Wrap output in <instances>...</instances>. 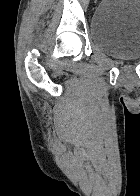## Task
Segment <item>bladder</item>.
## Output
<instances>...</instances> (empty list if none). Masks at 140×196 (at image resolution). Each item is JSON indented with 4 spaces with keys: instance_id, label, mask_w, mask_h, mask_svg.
<instances>
[{
    "instance_id": "obj_1",
    "label": "bladder",
    "mask_w": 140,
    "mask_h": 196,
    "mask_svg": "<svg viewBox=\"0 0 140 196\" xmlns=\"http://www.w3.org/2000/svg\"><path fill=\"white\" fill-rule=\"evenodd\" d=\"M90 40L122 60L140 58V0H102L90 21Z\"/></svg>"
}]
</instances>
